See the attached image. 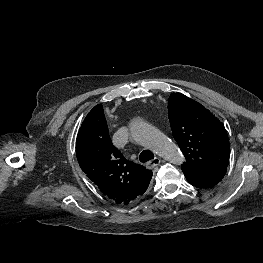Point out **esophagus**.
<instances>
[{
  "label": "esophagus",
  "instance_id": "obj_1",
  "mask_svg": "<svg viewBox=\"0 0 263 263\" xmlns=\"http://www.w3.org/2000/svg\"><path fill=\"white\" fill-rule=\"evenodd\" d=\"M161 163V159L159 157H155L154 159H152L151 161H149L146 164V167L148 169H154L155 167H157L159 164Z\"/></svg>",
  "mask_w": 263,
  "mask_h": 263
}]
</instances>
